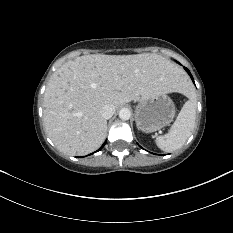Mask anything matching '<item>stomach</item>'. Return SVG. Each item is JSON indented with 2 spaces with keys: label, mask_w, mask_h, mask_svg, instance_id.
<instances>
[{
  "label": "stomach",
  "mask_w": 233,
  "mask_h": 233,
  "mask_svg": "<svg viewBox=\"0 0 233 233\" xmlns=\"http://www.w3.org/2000/svg\"><path fill=\"white\" fill-rule=\"evenodd\" d=\"M175 116L173 101L166 94L155 95L139 102L135 109L137 128L151 133L172 122Z\"/></svg>",
  "instance_id": "stomach-1"
}]
</instances>
